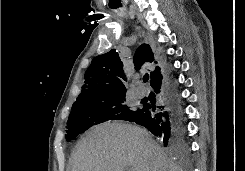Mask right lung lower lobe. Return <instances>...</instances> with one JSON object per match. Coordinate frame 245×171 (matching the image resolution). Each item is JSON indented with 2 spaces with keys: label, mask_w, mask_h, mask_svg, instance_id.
I'll return each instance as SVG.
<instances>
[{
  "label": "right lung lower lobe",
  "mask_w": 245,
  "mask_h": 171,
  "mask_svg": "<svg viewBox=\"0 0 245 171\" xmlns=\"http://www.w3.org/2000/svg\"><path fill=\"white\" fill-rule=\"evenodd\" d=\"M151 87L158 95V103L145 104L130 122L147 128L165 146L182 145L185 137L184 111L174 77L165 70Z\"/></svg>",
  "instance_id": "right-lung-lower-lobe-1"
}]
</instances>
